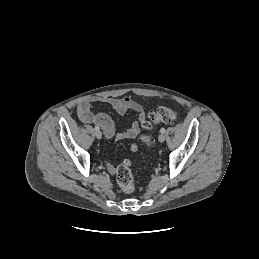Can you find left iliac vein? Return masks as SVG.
I'll use <instances>...</instances> for the list:
<instances>
[{
  "mask_svg": "<svg viewBox=\"0 0 259 259\" xmlns=\"http://www.w3.org/2000/svg\"><path fill=\"white\" fill-rule=\"evenodd\" d=\"M158 140H159V142H164L165 141V135L164 134H160L158 136Z\"/></svg>",
  "mask_w": 259,
  "mask_h": 259,
  "instance_id": "1",
  "label": "left iliac vein"
}]
</instances>
